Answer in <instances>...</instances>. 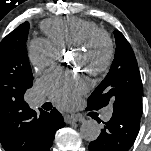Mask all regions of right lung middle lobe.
Here are the masks:
<instances>
[{"mask_svg": "<svg viewBox=\"0 0 151 151\" xmlns=\"http://www.w3.org/2000/svg\"><path fill=\"white\" fill-rule=\"evenodd\" d=\"M29 23L24 22L0 43V96L24 97L32 87L33 75L29 64L26 40Z\"/></svg>", "mask_w": 151, "mask_h": 151, "instance_id": "right-lung-middle-lobe-1", "label": "right lung middle lobe"}]
</instances>
